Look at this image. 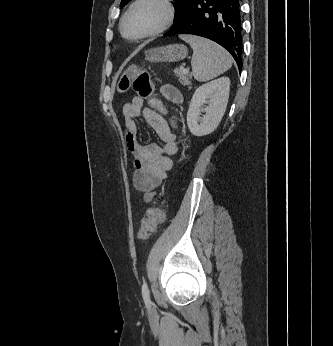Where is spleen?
<instances>
[{
    "instance_id": "1",
    "label": "spleen",
    "mask_w": 333,
    "mask_h": 346,
    "mask_svg": "<svg viewBox=\"0 0 333 346\" xmlns=\"http://www.w3.org/2000/svg\"><path fill=\"white\" fill-rule=\"evenodd\" d=\"M181 39L186 41L193 49L191 65L193 76L197 81L210 80L231 67V56L220 45L208 39L192 35L181 36Z\"/></svg>"
}]
</instances>
